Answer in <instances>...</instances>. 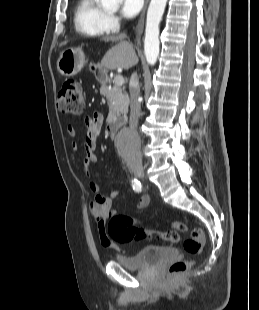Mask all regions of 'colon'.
I'll use <instances>...</instances> for the list:
<instances>
[{
    "label": "colon",
    "instance_id": "1",
    "mask_svg": "<svg viewBox=\"0 0 259 310\" xmlns=\"http://www.w3.org/2000/svg\"><path fill=\"white\" fill-rule=\"evenodd\" d=\"M58 110L64 114L80 115L84 111L85 100L81 85L76 80H66L57 96ZM172 231L148 230L138 225L137 221L126 214L116 213L111 216L107 231L109 236L118 243H128L133 240H143L156 236L169 243L181 241L183 232H190V237L184 241V250L189 255L199 254L204 246V233L198 227L190 228L183 222H173ZM191 265L189 260L174 262L169 272L173 275L186 271Z\"/></svg>",
    "mask_w": 259,
    "mask_h": 310
}]
</instances>
